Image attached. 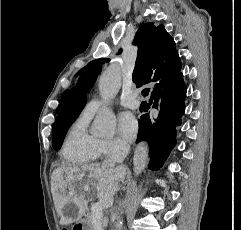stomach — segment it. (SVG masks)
Listing matches in <instances>:
<instances>
[{"label":"stomach","instance_id":"stomach-1","mask_svg":"<svg viewBox=\"0 0 241 230\" xmlns=\"http://www.w3.org/2000/svg\"><path fill=\"white\" fill-rule=\"evenodd\" d=\"M75 227H77L78 230H91V225L86 219L79 220Z\"/></svg>","mask_w":241,"mask_h":230}]
</instances>
